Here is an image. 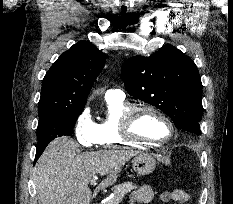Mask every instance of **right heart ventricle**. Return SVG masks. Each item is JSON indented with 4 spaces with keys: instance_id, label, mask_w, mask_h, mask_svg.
Masks as SVG:
<instances>
[{
    "instance_id": "right-heart-ventricle-1",
    "label": "right heart ventricle",
    "mask_w": 233,
    "mask_h": 204,
    "mask_svg": "<svg viewBox=\"0 0 233 204\" xmlns=\"http://www.w3.org/2000/svg\"><path fill=\"white\" fill-rule=\"evenodd\" d=\"M105 102V116L96 123L97 145L103 148L143 146V144L127 141L121 134V119L131 104L124 97L105 98Z\"/></svg>"
}]
</instances>
